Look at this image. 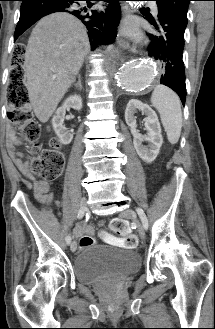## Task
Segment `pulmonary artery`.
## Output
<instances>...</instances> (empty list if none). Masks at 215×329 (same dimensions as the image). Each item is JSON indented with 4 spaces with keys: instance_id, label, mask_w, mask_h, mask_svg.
<instances>
[{
    "instance_id": "e3ab8cb5",
    "label": "pulmonary artery",
    "mask_w": 215,
    "mask_h": 329,
    "mask_svg": "<svg viewBox=\"0 0 215 329\" xmlns=\"http://www.w3.org/2000/svg\"><path fill=\"white\" fill-rule=\"evenodd\" d=\"M151 8H152L153 13H154V14H157L158 10H157V6H156L155 3H153V4L151 5Z\"/></svg>"
}]
</instances>
